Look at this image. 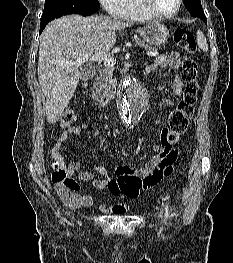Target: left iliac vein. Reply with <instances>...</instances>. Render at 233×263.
Instances as JSON below:
<instances>
[{"label": "left iliac vein", "instance_id": "left-iliac-vein-1", "mask_svg": "<svg viewBox=\"0 0 233 263\" xmlns=\"http://www.w3.org/2000/svg\"><path fill=\"white\" fill-rule=\"evenodd\" d=\"M160 217H162V213H160Z\"/></svg>", "mask_w": 233, "mask_h": 263}]
</instances>
